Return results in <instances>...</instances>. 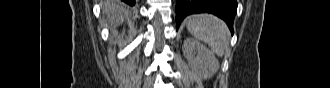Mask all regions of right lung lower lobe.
<instances>
[{"instance_id": "right-lung-lower-lobe-1", "label": "right lung lower lobe", "mask_w": 330, "mask_h": 88, "mask_svg": "<svg viewBox=\"0 0 330 88\" xmlns=\"http://www.w3.org/2000/svg\"><path fill=\"white\" fill-rule=\"evenodd\" d=\"M123 2L127 3L130 6H134L135 5V0H122Z\"/></svg>"}]
</instances>
